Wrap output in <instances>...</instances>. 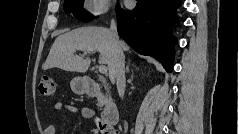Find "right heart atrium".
I'll return each instance as SVG.
<instances>
[{"mask_svg": "<svg viewBox=\"0 0 239 134\" xmlns=\"http://www.w3.org/2000/svg\"><path fill=\"white\" fill-rule=\"evenodd\" d=\"M109 8V0H88L85 4V10L93 17L103 16L108 12Z\"/></svg>", "mask_w": 239, "mask_h": 134, "instance_id": "obj_1", "label": "right heart atrium"}]
</instances>
